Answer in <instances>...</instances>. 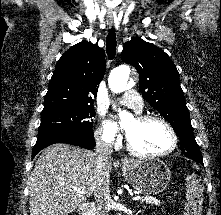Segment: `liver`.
<instances>
[{
	"label": "liver",
	"mask_w": 221,
	"mask_h": 215,
	"mask_svg": "<svg viewBox=\"0 0 221 215\" xmlns=\"http://www.w3.org/2000/svg\"><path fill=\"white\" fill-rule=\"evenodd\" d=\"M111 169L108 158L103 167L108 178ZM98 175L96 153L68 144L47 147L29 178L30 215L70 214L87 201ZM75 188L85 194H77Z\"/></svg>",
	"instance_id": "obj_1"
}]
</instances>
